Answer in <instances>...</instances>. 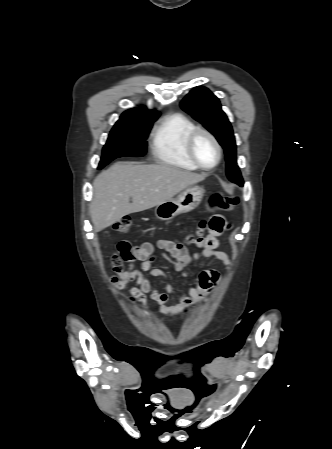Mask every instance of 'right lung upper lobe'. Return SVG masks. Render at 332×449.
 Instances as JSON below:
<instances>
[{"label":"right lung upper lobe","mask_w":332,"mask_h":449,"mask_svg":"<svg viewBox=\"0 0 332 449\" xmlns=\"http://www.w3.org/2000/svg\"><path fill=\"white\" fill-rule=\"evenodd\" d=\"M158 116H159V112H157V111H144L140 108H133V109H130V110L124 112L121 115L120 120L134 119V118L155 119Z\"/></svg>","instance_id":"cb5924a9"}]
</instances>
